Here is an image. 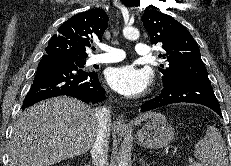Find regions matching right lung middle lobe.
Masks as SVG:
<instances>
[{"label": "right lung middle lobe", "instance_id": "dd1d6c3e", "mask_svg": "<svg viewBox=\"0 0 231 166\" xmlns=\"http://www.w3.org/2000/svg\"><path fill=\"white\" fill-rule=\"evenodd\" d=\"M70 62L74 63L75 65H77L80 68H84V65H85V60H79V61L72 60Z\"/></svg>", "mask_w": 231, "mask_h": 166}]
</instances>
